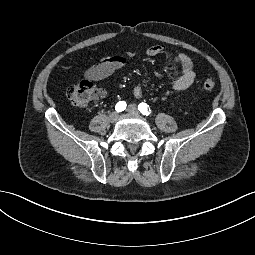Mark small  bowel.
I'll return each mask as SVG.
<instances>
[{
  "instance_id": "small-bowel-1",
  "label": "small bowel",
  "mask_w": 255,
  "mask_h": 255,
  "mask_svg": "<svg viewBox=\"0 0 255 255\" xmlns=\"http://www.w3.org/2000/svg\"><path fill=\"white\" fill-rule=\"evenodd\" d=\"M166 48L163 45H151L146 49L147 56H157L164 53ZM173 62L179 66V70L174 73L172 89L183 91L189 88L195 80L194 64L196 59L184 52H177L173 57ZM126 64V59L122 56H109L88 68L84 77L91 81H99L121 72ZM144 90L141 85L133 88V95L136 98L143 96Z\"/></svg>"
}]
</instances>
